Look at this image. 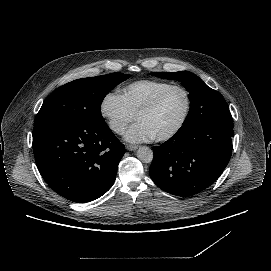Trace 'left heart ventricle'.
Segmentation results:
<instances>
[{
  "mask_svg": "<svg viewBox=\"0 0 271 271\" xmlns=\"http://www.w3.org/2000/svg\"><path fill=\"white\" fill-rule=\"evenodd\" d=\"M185 109L184 92L181 89H174L153 112L139 117L137 121L145 123L156 138L173 130L182 119Z\"/></svg>",
  "mask_w": 271,
  "mask_h": 271,
  "instance_id": "left-heart-ventricle-1",
  "label": "left heart ventricle"
}]
</instances>
